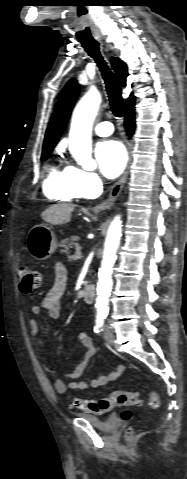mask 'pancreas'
I'll return each instance as SVG.
<instances>
[{
    "mask_svg": "<svg viewBox=\"0 0 187 479\" xmlns=\"http://www.w3.org/2000/svg\"><path fill=\"white\" fill-rule=\"evenodd\" d=\"M77 241H79V238L77 236H71V237H68V238H65L64 240H62L61 243L59 244V246L68 250L72 246L79 245L77 243Z\"/></svg>",
    "mask_w": 187,
    "mask_h": 479,
    "instance_id": "obj_1",
    "label": "pancreas"
}]
</instances>
